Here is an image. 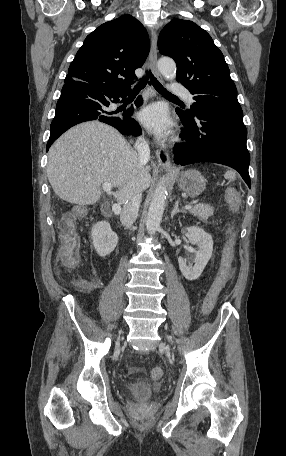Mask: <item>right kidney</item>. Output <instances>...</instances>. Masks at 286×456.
Here are the masks:
<instances>
[{
    "label": "right kidney",
    "instance_id": "1",
    "mask_svg": "<svg viewBox=\"0 0 286 456\" xmlns=\"http://www.w3.org/2000/svg\"><path fill=\"white\" fill-rule=\"evenodd\" d=\"M91 238L94 248L100 257L109 255L118 243L117 234L112 231L110 224L106 221H101L93 225Z\"/></svg>",
    "mask_w": 286,
    "mask_h": 456
}]
</instances>
